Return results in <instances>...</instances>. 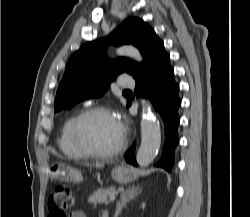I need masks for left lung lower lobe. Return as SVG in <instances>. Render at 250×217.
<instances>
[{
  "label": "left lung lower lobe",
  "mask_w": 250,
  "mask_h": 217,
  "mask_svg": "<svg viewBox=\"0 0 250 217\" xmlns=\"http://www.w3.org/2000/svg\"><path fill=\"white\" fill-rule=\"evenodd\" d=\"M134 79L136 96L149 99L163 120L165 143L161 159L156 165L170 171L174 164V150L179 142L177 127L181 100L178 96L179 85L174 80V70L170 66V56L162 41L156 47L149 64ZM134 150L135 147L128 150L125 160L137 165Z\"/></svg>",
  "instance_id": "left-lung-lower-lobe-1"
}]
</instances>
